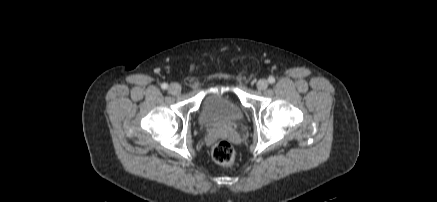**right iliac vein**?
<instances>
[{
	"instance_id": "obj_1",
	"label": "right iliac vein",
	"mask_w": 437,
	"mask_h": 202,
	"mask_svg": "<svg viewBox=\"0 0 437 202\" xmlns=\"http://www.w3.org/2000/svg\"><path fill=\"white\" fill-rule=\"evenodd\" d=\"M168 91L170 94L177 95L181 92V86L177 83H172L169 86Z\"/></svg>"
}]
</instances>
